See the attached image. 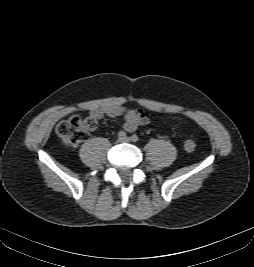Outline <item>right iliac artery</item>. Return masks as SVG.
I'll return each mask as SVG.
<instances>
[{"label":"right iliac artery","instance_id":"1","mask_svg":"<svg viewBox=\"0 0 254 267\" xmlns=\"http://www.w3.org/2000/svg\"><path fill=\"white\" fill-rule=\"evenodd\" d=\"M126 137V133L124 132V131H120L119 133H118V138L119 139H123V138H125Z\"/></svg>","mask_w":254,"mask_h":267}]
</instances>
